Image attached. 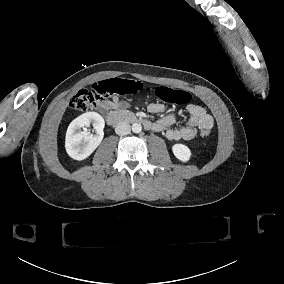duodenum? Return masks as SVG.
<instances>
[{"instance_id":"410a0bca","label":"duodenum","mask_w":284,"mask_h":284,"mask_svg":"<svg viewBox=\"0 0 284 284\" xmlns=\"http://www.w3.org/2000/svg\"><path fill=\"white\" fill-rule=\"evenodd\" d=\"M105 119L109 125L115 126L122 123H138L145 127H150V122L131 113H120L117 111H110L105 114Z\"/></svg>"}]
</instances>
